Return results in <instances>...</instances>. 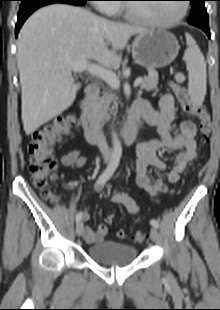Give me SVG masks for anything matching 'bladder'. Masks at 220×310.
Instances as JSON below:
<instances>
[{"label":"bladder","mask_w":220,"mask_h":310,"mask_svg":"<svg viewBox=\"0 0 220 310\" xmlns=\"http://www.w3.org/2000/svg\"><path fill=\"white\" fill-rule=\"evenodd\" d=\"M88 257L103 265H127L137 256V249L125 243L104 240L87 249Z\"/></svg>","instance_id":"31cf9c89"}]
</instances>
